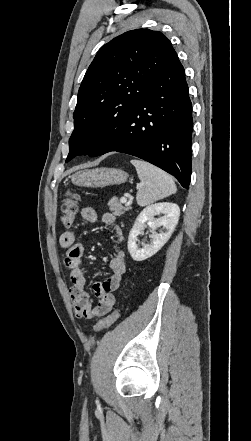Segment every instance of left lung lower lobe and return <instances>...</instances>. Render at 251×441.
<instances>
[{
    "label": "left lung lower lobe",
    "instance_id": "0a47b994",
    "mask_svg": "<svg viewBox=\"0 0 251 441\" xmlns=\"http://www.w3.org/2000/svg\"><path fill=\"white\" fill-rule=\"evenodd\" d=\"M192 130L189 89L175 52L124 121L96 130L90 157L111 151L130 154L175 176L188 189Z\"/></svg>",
    "mask_w": 251,
    "mask_h": 441
}]
</instances>
